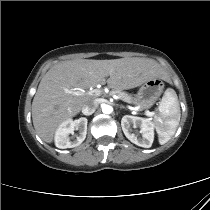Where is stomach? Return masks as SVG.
<instances>
[{"label":"stomach","mask_w":210,"mask_h":210,"mask_svg":"<svg viewBox=\"0 0 210 210\" xmlns=\"http://www.w3.org/2000/svg\"><path fill=\"white\" fill-rule=\"evenodd\" d=\"M163 88L164 85L160 79L154 78L147 80L139 88L133 103L140 109L150 108L159 99Z\"/></svg>","instance_id":"obj_1"}]
</instances>
